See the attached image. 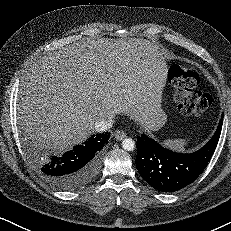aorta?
<instances>
[{"mask_svg":"<svg viewBox=\"0 0 231 231\" xmlns=\"http://www.w3.org/2000/svg\"><path fill=\"white\" fill-rule=\"evenodd\" d=\"M122 148L126 151H132L135 148V142L131 138H125L122 141Z\"/></svg>","mask_w":231,"mask_h":231,"instance_id":"1","label":"aorta"}]
</instances>
